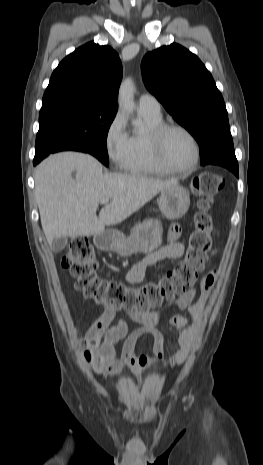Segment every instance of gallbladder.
I'll list each match as a JSON object with an SVG mask.
<instances>
[{
  "mask_svg": "<svg viewBox=\"0 0 263 465\" xmlns=\"http://www.w3.org/2000/svg\"><path fill=\"white\" fill-rule=\"evenodd\" d=\"M67 244V238L66 237H58L55 238L53 243H52V250L54 252H60L61 250L64 249V247Z\"/></svg>",
  "mask_w": 263,
  "mask_h": 465,
  "instance_id": "gallbladder-1",
  "label": "gallbladder"
}]
</instances>
